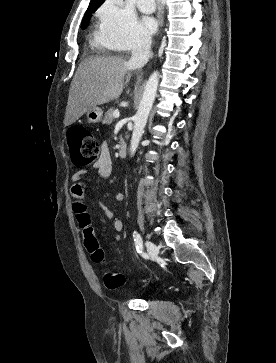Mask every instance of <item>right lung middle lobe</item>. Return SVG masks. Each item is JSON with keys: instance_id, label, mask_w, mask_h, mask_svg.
<instances>
[{"instance_id": "right-lung-middle-lobe-1", "label": "right lung middle lobe", "mask_w": 276, "mask_h": 363, "mask_svg": "<svg viewBox=\"0 0 276 363\" xmlns=\"http://www.w3.org/2000/svg\"><path fill=\"white\" fill-rule=\"evenodd\" d=\"M98 6H90L88 7L85 15H84V18L82 20V23H81V28L82 29H85L90 21V18L92 16V14L97 10Z\"/></svg>"}]
</instances>
